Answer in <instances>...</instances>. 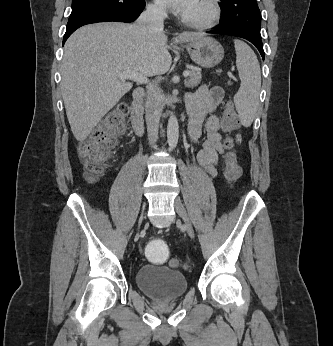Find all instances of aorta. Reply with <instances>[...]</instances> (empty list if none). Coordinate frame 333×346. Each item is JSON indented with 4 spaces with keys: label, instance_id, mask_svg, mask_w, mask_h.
<instances>
[{
    "label": "aorta",
    "instance_id": "aorta-1",
    "mask_svg": "<svg viewBox=\"0 0 333 346\" xmlns=\"http://www.w3.org/2000/svg\"><path fill=\"white\" fill-rule=\"evenodd\" d=\"M179 138V124L175 115H171L167 125V142L169 149H174L177 146Z\"/></svg>",
    "mask_w": 333,
    "mask_h": 346
}]
</instances>
